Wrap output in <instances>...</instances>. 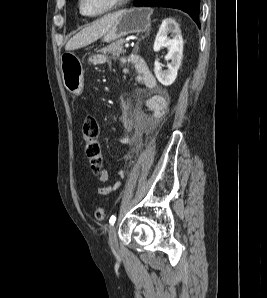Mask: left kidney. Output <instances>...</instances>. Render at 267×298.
Instances as JSON below:
<instances>
[{
  "label": "left kidney",
  "mask_w": 267,
  "mask_h": 298,
  "mask_svg": "<svg viewBox=\"0 0 267 298\" xmlns=\"http://www.w3.org/2000/svg\"><path fill=\"white\" fill-rule=\"evenodd\" d=\"M168 33H171V38L167 37ZM162 47L168 48L166 58L170 60V63L168 69L162 71L158 60H155L154 73L157 80L162 85L169 86L177 77V72L183 57V38L181 30L178 23L172 18H167L162 21L156 35L153 49L155 52H158Z\"/></svg>",
  "instance_id": "1"
}]
</instances>
